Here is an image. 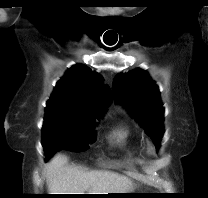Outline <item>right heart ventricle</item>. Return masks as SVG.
<instances>
[{"mask_svg":"<svg viewBox=\"0 0 208 198\" xmlns=\"http://www.w3.org/2000/svg\"><path fill=\"white\" fill-rule=\"evenodd\" d=\"M110 138L117 143L127 144L132 140V133L127 126L119 125L111 130Z\"/></svg>","mask_w":208,"mask_h":198,"instance_id":"1","label":"right heart ventricle"}]
</instances>
